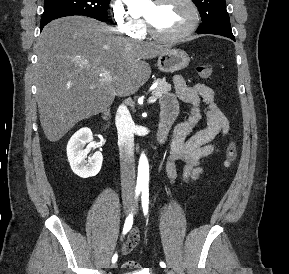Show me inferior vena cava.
<instances>
[{
    "mask_svg": "<svg viewBox=\"0 0 289 274\" xmlns=\"http://www.w3.org/2000/svg\"><path fill=\"white\" fill-rule=\"evenodd\" d=\"M115 123L118 131L122 194L133 195L135 191L134 122L125 105H120Z\"/></svg>",
    "mask_w": 289,
    "mask_h": 274,
    "instance_id": "obj_1",
    "label": "inferior vena cava"
}]
</instances>
